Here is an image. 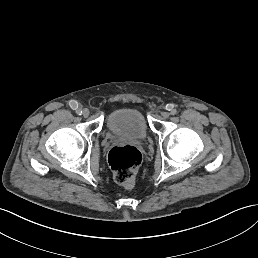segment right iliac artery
Wrapping results in <instances>:
<instances>
[{
	"instance_id": "obj_1",
	"label": "right iliac artery",
	"mask_w": 258,
	"mask_h": 258,
	"mask_svg": "<svg viewBox=\"0 0 258 258\" xmlns=\"http://www.w3.org/2000/svg\"><path fill=\"white\" fill-rule=\"evenodd\" d=\"M76 113L77 115H82L83 112L81 110H77Z\"/></svg>"
}]
</instances>
